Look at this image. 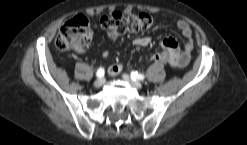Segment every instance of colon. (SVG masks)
<instances>
[{
    "mask_svg": "<svg viewBox=\"0 0 247 145\" xmlns=\"http://www.w3.org/2000/svg\"><path fill=\"white\" fill-rule=\"evenodd\" d=\"M152 25L153 18L147 13L122 14L120 12L102 17L98 24L101 29L117 34L148 30ZM92 38L93 31L87 18L76 15L61 26L55 44L62 51L77 50L89 44Z\"/></svg>",
    "mask_w": 247,
    "mask_h": 145,
    "instance_id": "1",
    "label": "colon"
}]
</instances>
